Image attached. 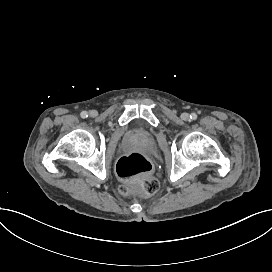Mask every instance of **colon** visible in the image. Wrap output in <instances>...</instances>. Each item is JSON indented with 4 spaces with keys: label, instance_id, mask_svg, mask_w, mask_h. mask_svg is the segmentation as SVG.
<instances>
[{
    "label": "colon",
    "instance_id": "obj_1",
    "mask_svg": "<svg viewBox=\"0 0 272 272\" xmlns=\"http://www.w3.org/2000/svg\"><path fill=\"white\" fill-rule=\"evenodd\" d=\"M151 169L150 161L140 153L134 152L122 157L116 165L117 174L121 176V179L136 184H123L119 189L126 193L132 189H140L146 195H156L160 184L150 174Z\"/></svg>",
    "mask_w": 272,
    "mask_h": 272
}]
</instances>
